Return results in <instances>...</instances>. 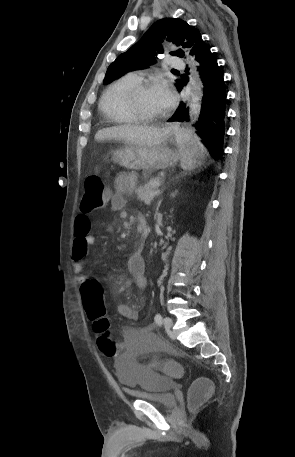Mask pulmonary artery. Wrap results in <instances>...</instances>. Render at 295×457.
Here are the masks:
<instances>
[{
    "label": "pulmonary artery",
    "instance_id": "1",
    "mask_svg": "<svg viewBox=\"0 0 295 457\" xmlns=\"http://www.w3.org/2000/svg\"><path fill=\"white\" fill-rule=\"evenodd\" d=\"M167 66L171 69H183L184 68V62L178 58V57H169L167 58ZM134 77L137 79H140V76L138 74H132Z\"/></svg>",
    "mask_w": 295,
    "mask_h": 457
}]
</instances>
